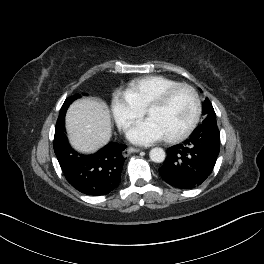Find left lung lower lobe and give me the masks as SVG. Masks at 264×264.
<instances>
[{
    "mask_svg": "<svg viewBox=\"0 0 264 264\" xmlns=\"http://www.w3.org/2000/svg\"><path fill=\"white\" fill-rule=\"evenodd\" d=\"M220 150V132L215 122L199 125L182 144L168 149L159 169L161 177L179 189H193L211 174Z\"/></svg>",
    "mask_w": 264,
    "mask_h": 264,
    "instance_id": "left-lung-lower-lobe-1",
    "label": "left lung lower lobe"
}]
</instances>
